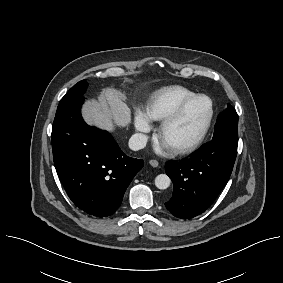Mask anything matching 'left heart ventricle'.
<instances>
[{"instance_id":"left-heart-ventricle-1","label":"left heart ventricle","mask_w":283,"mask_h":283,"mask_svg":"<svg viewBox=\"0 0 283 283\" xmlns=\"http://www.w3.org/2000/svg\"><path fill=\"white\" fill-rule=\"evenodd\" d=\"M210 113V101L200 98L194 101L181 118L163 135L162 141L174 148L195 139L202 131Z\"/></svg>"}]
</instances>
